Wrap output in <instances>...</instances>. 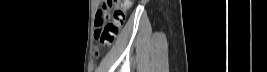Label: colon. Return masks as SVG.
<instances>
[{
	"instance_id": "1",
	"label": "colon",
	"mask_w": 267,
	"mask_h": 72,
	"mask_svg": "<svg viewBox=\"0 0 267 72\" xmlns=\"http://www.w3.org/2000/svg\"><path fill=\"white\" fill-rule=\"evenodd\" d=\"M103 7L98 11L99 18L95 21L94 37L100 46H110L116 39L120 27V20L124 17L130 1L104 0ZM107 14V17L101 18ZM111 18L113 19L112 21ZM98 56V51H96Z\"/></svg>"
}]
</instances>
